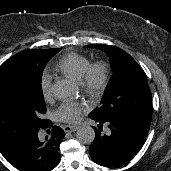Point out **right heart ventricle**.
<instances>
[{
    "instance_id": "e07e8e85",
    "label": "right heart ventricle",
    "mask_w": 171,
    "mask_h": 171,
    "mask_svg": "<svg viewBox=\"0 0 171 171\" xmlns=\"http://www.w3.org/2000/svg\"><path fill=\"white\" fill-rule=\"evenodd\" d=\"M87 57L78 53H67L57 63L58 69L73 79L80 80L90 65Z\"/></svg>"
}]
</instances>
